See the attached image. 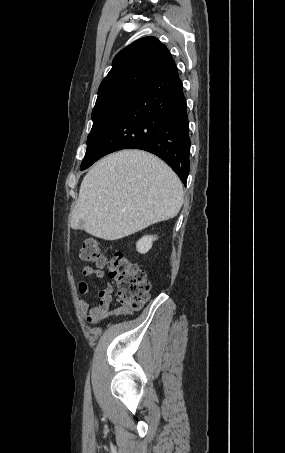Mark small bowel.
Instances as JSON below:
<instances>
[{"instance_id": "1", "label": "small bowel", "mask_w": 285, "mask_h": 453, "mask_svg": "<svg viewBox=\"0 0 285 453\" xmlns=\"http://www.w3.org/2000/svg\"><path fill=\"white\" fill-rule=\"evenodd\" d=\"M82 274L85 277H96L99 279L104 278V271L101 269H95L90 266H85L82 269ZM77 291L81 298L78 301L79 310L81 315L89 323H97L102 319L109 316V306L112 301L113 286L110 283H106L105 287L98 292L99 301L96 305L90 307L88 300L90 297V287L85 281H79L77 284ZM116 312H120L119 309Z\"/></svg>"}]
</instances>
